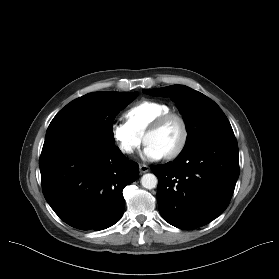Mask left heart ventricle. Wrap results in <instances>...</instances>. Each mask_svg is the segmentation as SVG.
Segmentation results:
<instances>
[{
	"label": "left heart ventricle",
	"instance_id": "obj_1",
	"mask_svg": "<svg viewBox=\"0 0 279 279\" xmlns=\"http://www.w3.org/2000/svg\"><path fill=\"white\" fill-rule=\"evenodd\" d=\"M181 139V126L175 119L167 121L158 131L148 133L144 140L146 144H152L164 155L176 148Z\"/></svg>",
	"mask_w": 279,
	"mask_h": 279
}]
</instances>
